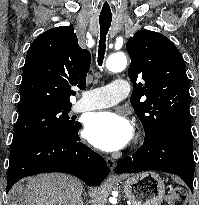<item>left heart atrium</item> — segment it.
I'll use <instances>...</instances> for the list:
<instances>
[{"mask_svg":"<svg viewBox=\"0 0 199 205\" xmlns=\"http://www.w3.org/2000/svg\"><path fill=\"white\" fill-rule=\"evenodd\" d=\"M85 138L95 147L104 151H116L124 147L132 137V126L123 115L103 111L89 116Z\"/></svg>","mask_w":199,"mask_h":205,"instance_id":"1","label":"left heart atrium"}]
</instances>
